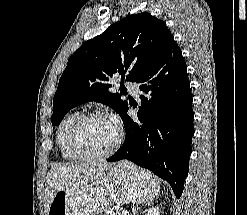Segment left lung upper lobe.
<instances>
[{
	"label": "left lung upper lobe",
	"mask_w": 247,
	"mask_h": 215,
	"mask_svg": "<svg viewBox=\"0 0 247 215\" xmlns=\"http://www.w3.org/2000/svg\"><path fill=\"white\" fill-rule=\"evenodd\" d=\"M173 38L166 24L147 12L125 17L101 35L83 43L70 57L53 98L51 121L57 125L73 107L96 101L120 116L128 108L121 95L111 93L109 80L124 75L136 82L151 67Z\"/></svg>",
	"instance_id": "5c2ea615"
}]
</instances>
